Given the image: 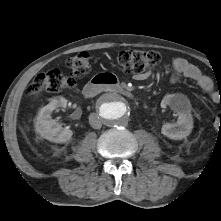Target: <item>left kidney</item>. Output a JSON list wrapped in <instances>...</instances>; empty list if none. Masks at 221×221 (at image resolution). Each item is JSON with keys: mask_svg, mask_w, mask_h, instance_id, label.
Masks as SVG:
<instances>
[{"mask_svg": "<svg viewBox=\"0 0 221 221\" xmlns=\"http://www.w3.org/2000/svg\"><path fill=\"white\" fill-rule=\"evenodd\" d=\"M160 105L162 108L168 106L178 115L176 123L163 124L161 133L172 140H181L189 136L193 129V116L187 96L181 93L166 94Z\"/></svg>", "mask_w": 221, "mask_h": 221, "instance_id": "obj_1", "label": "left kidney"}]
</instances>
